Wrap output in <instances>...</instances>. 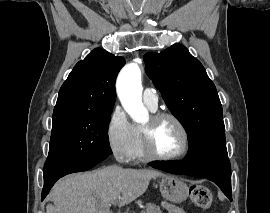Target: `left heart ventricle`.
Returning <instances> with one entry per match:
<instances>
[{
  "instance_id": "b2bd125f",
  "label": "left heart ventricle",
  "mask_w": 270,
  "mask_h": 213,
  "mask_svg": "<svg viewBox=\"0 0 270 213\" xmlns=\"http://www.w3.org/2000/svg\"><path fill=\"white\" fill-rule=\"evenodd\" d=\"M149 124L150 118L142 127H147ZM152 143L157 153L165 156L174 155L180 152L183 147V136L171 119H163L153 128Z\"/></svg>"
}]
</instances>
